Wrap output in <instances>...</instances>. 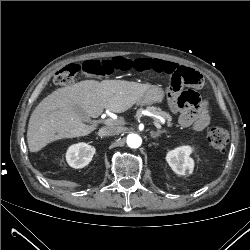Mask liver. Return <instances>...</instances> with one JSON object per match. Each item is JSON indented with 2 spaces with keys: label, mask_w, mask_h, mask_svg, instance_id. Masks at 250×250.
<instances>
[{
  "label": "liver",
  "mask_w": 250,
  "mask_h": 250,
  "mask_svg": "<svg viewBox=\"0 0 250 250\" xmlns=\"http://www.w3.org/2000/svg\"><path fill=\"white\" fill-rule=\"evenodd\" d=\"M152 85L125 80H84L59 88L45 97L32 112L27 130L31 152H38L49 143L86 136L96 129L83 120L100 116L104 109L123 113L129 110ZM78 106L85 118L74 111Z\"/></svg>",
  "instance_id": "liver-1"
}]
</instances>
